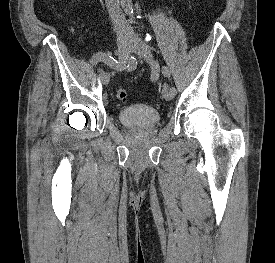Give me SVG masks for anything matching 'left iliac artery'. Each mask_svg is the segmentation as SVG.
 Here are the masks:
<instances>
[{"label":"left iliac artery","mask_w":275,"mask_h":263,"mask_svg":"<svg viewBox=\"0 0 275 263\" xmlns=\"http://www.w3.org/2000/svg\"><path fill=\"white\" fill-rule=\"evenodd\" d=\"M162 73H163V75L164 76H166V77H169L170 76V70L166 67V66H163L162 67ZM170 90L174 93V94H176V89H175V87H171L170 88Z\"/></svg>","instance_id":"44dca946"}]
</instances>
